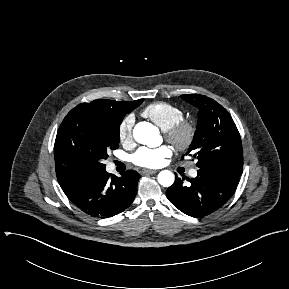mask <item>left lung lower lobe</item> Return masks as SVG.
I'll use <instances>...</instances> for the list:
<instances>
[{
    "instance_id": "1",
    "label": "left lung lower lobe",
    "mask_w": 289,
    "mask_h": 289,
    "mask_svg": "<svg viewBox=\"0 0 289 289\" xmlns=\"http://www.w3.org/2000/svg\"><path fill=\"white\" fill-rule=\"evenodd\" d=\"M240 176L219 168H199L196 178H177L166 196L183 213L200 218L215 212L230 199ZM185 179L190 183L185 185Z\"/></svg>"
}]
</instances>
